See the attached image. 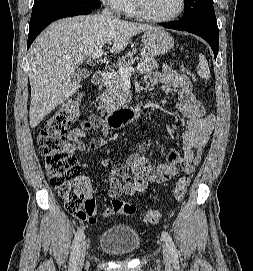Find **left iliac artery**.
I'll list each match as a JSON object with an SVG mask.
<instances>
[{
  "instance_id": "obj_1",
  "label": "left iliac artery",
  "mask_w": 253,
  "mask_h": 271,
  "mask_svg": "<svg viewBox=\"0 0 253 271\" xmlns=\"http://www.w3.org/2000/svg\"><path fill=\"white\" fill-rule=\"evenodd\" d=\"M162 237H163V239H164V241H165V243H166V245L168 247V250L170 252L173 264L175 265V267H178V265H179L178 251H177V249L175 247V244H174L171 236L167 232L163 231L162 232Z\"/></svg>"
}]
</instances>
